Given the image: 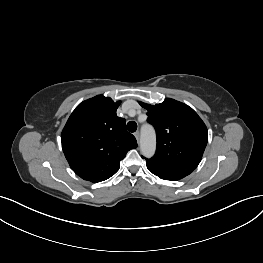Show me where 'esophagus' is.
Listing matches in <instances>:
<instances>
[{"label": "esophagus", "instance_id": "34e87169", "mask_svg": "<svg viewBox=\"0 0 263 263\" xmlns=\"http://www.w3.org/2000/svg\"><path fill=\"white\" fill-rule=\"evenodd\" d=\"M134 136H135L137 142H139L140 132H139V131H136V132L134 133Z\"/></svg>", "mask_w": 263, "mask_h": 263}]
</instances>
